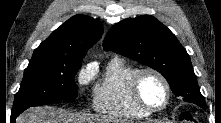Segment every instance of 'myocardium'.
Returning <instances> with one entry per match:
<instances>
[{
    "label": "myocardium",
    "instance_id": "1",
    "mask_svg": "<svg viewBox=\"0 0 221 123\" xmlns=\"http://www.w3.org/2000/svg\"><path fill=\"white\" fill-rule=\"evenodd\" d=\"M147 74H151L154 75L155 77H157L161 83L163 84L164 88H165V92H166V99L165 102L162 106L160 107H151L149 106L142 98L141 93H140V83L141 80L143 78V76L147 75ZM130 93L132 96L133 101L136 103V105L141 108L142 110H144L145 112L152 114V113H157V112H161L163 110H165L170 101H171V87L170 84L168 82V80L166 79V77L157 69L155 68H151V67H146V68H141L138 69L134 75L132 76L131 80H130Z\"/></svg>",
    "mask_w": 221,
    "mask_h": 123
}]
</instances>
